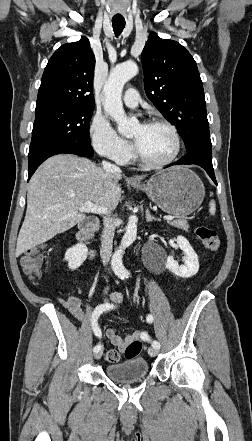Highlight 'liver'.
Returning <instances> with one entry per match:
<instances>
[{
	"label": "liver",
	"instance_id": "obj_1",
	"mask_svg": "<svg viewBox=\"0 0 252 441\" xmlns=\"http://www.w3.org/2000/svg\"><path fill=\"white\" fill-rule=\"evenodd\" d=\"M121 173H107L91 160L71 154L47 159L34 173L27 192V210L20 229L19 256L85 219V201L110 210L121 198Z\"/></svg>",
	"mask_w": 252,
	"mask_h": 441
}]
</instances>
